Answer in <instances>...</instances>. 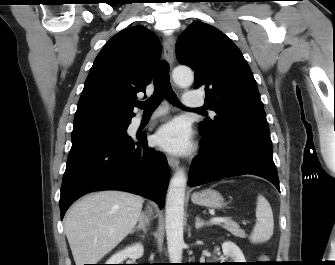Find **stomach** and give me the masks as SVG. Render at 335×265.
Wrapping results in <instances>:
<instances>
[{"label":"stomach","instance_id":"0dacf381","mask_svg":"<svg viewBox=\"0 0 335 265\" xmlns=\"http://www.w3.org/2000/svg\"><path fill=\"white\" fill-rule=\"evenodd\" d=\"M191 200L194 204L206 206L209 208L224 207V199L221 194L215 190H205L202 192L193 193Z\"/></svg>","mask_w":335,"mask_h":265}]
</instances>
